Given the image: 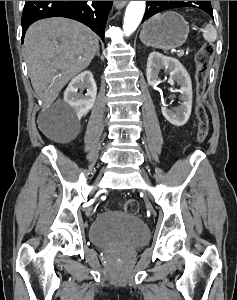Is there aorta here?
<instances>
[{
    "label": "aorta",
    "mask_w": 237,
    "mask_h": 300,
    "mask_svg": "<svg viewBox=\"0 0 237 300\" xmlns=\"http://www.w3.org/2000/svg\"><path fill=\"white\" fill-rule=\"evenodd\" d=\"M146 1H131L123 21V31L126 37L132 35L140 25L145 13Z\"/></svg>",
    "instance_id": "aorta-1"
}]
</instances>
